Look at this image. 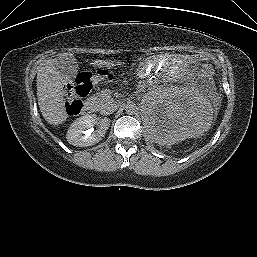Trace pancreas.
Here are the masks:
<instances>
[{"label": "pancreas", "mask_w": 257, "mask_h": 257, "mask_svg": "<svg viewBox=\"0 0 257 257\" xmlns=\"http://www.w3.org/2000/svg\"><path fill=\"white\" fill-rule=\"evenodd\" d=\"M110 101V92L102 91L90 98L89 102L98 110H101Z\"/></svg>", "instance_id": "pancreas-1"}]
</instances>
